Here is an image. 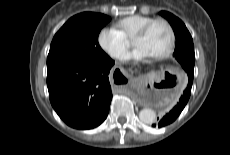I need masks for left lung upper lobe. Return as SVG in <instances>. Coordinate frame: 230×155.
<instances>
[{
    "label": "left lung upper lobe",
    "instance_id": "5c2ea615",
    "mask_svg": "<svg viewBox=\"0 0 230 155\" xmlns=\"http://www.w3.org/2000/svg\"><path fill=\"white\" fill-rule=\"evenodd\" d=\"M160 15L165 17L171 24L175 36H176V47L173 56L180 62L183 69L186 71L185 65H189L194 68L195 54L192 37L187 30L185 24L173 14L161 11Z\"/></svg>",
    "mask_w": 230,
    "mask_h": 155
}]
</instances>
